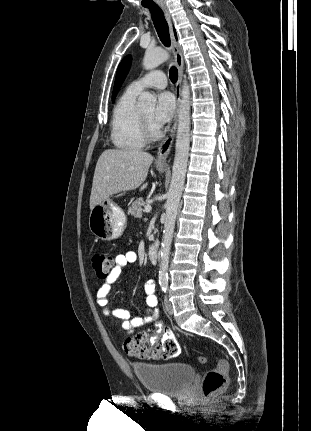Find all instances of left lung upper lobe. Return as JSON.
Segmentation results:
<instances>
[{"mask_svg":"<svg viewBox=\"0 0 311 431\" xmlns=\"http://www.w3.org/2000/svg\"><path fill=\"white\" fill-rule=\"evenodd\" d=\"M131 61H132L131 55H127L119 64L117 74H116L113 94H112V102H114L116 95L119 92L120 87L129 72Z\"/></svg>","mask_w":311,"mask_h":431,"instance_id":"left-lung-upper-lobe-1","label":"left lung upper lobe"}]
</instances>
